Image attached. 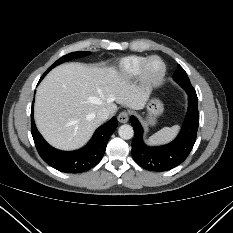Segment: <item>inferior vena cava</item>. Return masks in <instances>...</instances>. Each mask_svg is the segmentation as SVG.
Masks as SVG:
<instances>
[{"instance_id":"obj_1","label":"inferior vena cava","mask_w":233,"mask_h":233,"mask_svg":"<svg viewBox=\"0 0 233 233\" xmlns=\"http://www.w3.org/2000/svg\"><path fill=\"white\" fill-rule=\"evenodd\" d=\"M109 114H110V113H109V111H108L106 108H101V109L97 112L96 118H97L99 121L103 122V121H105V120L108 119Z\"/></svg>"}]
</instances>
